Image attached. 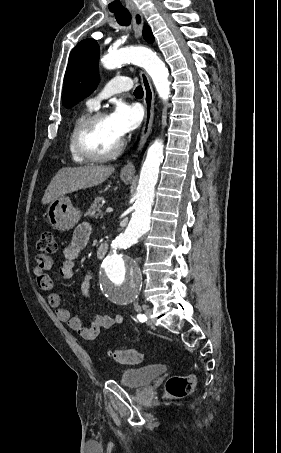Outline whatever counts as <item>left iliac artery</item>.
Masks as SVG:
<instances>
[{"label":"left iliac artery","instance_id":"44dca946","mask_svg":"<svg viewBox=\"0 0 281 453\" xmlns=\"http://www.w3.org/2000/svg\"><path fill=\"white\" fill-rule=\"evenodd\" d=\"M137 318L140 322H145L147 320V317L144 314H138Z\"/></svg>","mask_w":281,"mask_h":453}]
</instances>
